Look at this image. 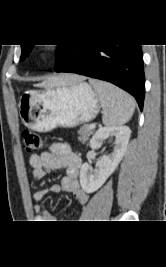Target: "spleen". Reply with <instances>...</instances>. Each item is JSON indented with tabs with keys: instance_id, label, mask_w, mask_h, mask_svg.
Returning <instances> with one entry per match:
<instances>
[{
	"instance_id": "obj_1",
	"label": "spleen",
	"mask_w": 166,
	"mask_h": 267,
	"mask_svg": "<svg viewBox=\"0 0 166 267\" xmlns=\"http://www.w3.org/2000/svg\"><path fill=\"white\" fill-rule=\"evenodd\" d=\"M89 82L99 95L104 110L102 117L104 125L120 126L131 119L135 101L128 93L104 81L90 79Z\"/></svg>"
}]
</instances>
